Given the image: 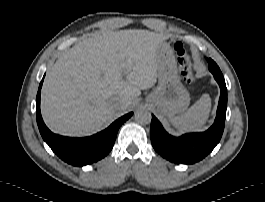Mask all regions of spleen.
<instances>
[{
  "label": "spleen",
  "mask_w": 265,
  "mask_h": 202,
  "mask_svg": "<svg viewBox=\"0 0 265 202\" xmlns=\"http://www.w3.org/2000/svg\"><path fill=\"white\" fill-rule=\"evenodd\" d=\"M211 99L203 94L185 113L169 118L171 124L180 132L200 131L208 119Z\"/></svg>",
  "instance_id": "obj_1"
}]
</instances>
